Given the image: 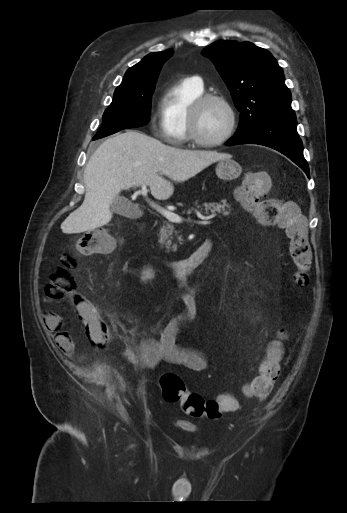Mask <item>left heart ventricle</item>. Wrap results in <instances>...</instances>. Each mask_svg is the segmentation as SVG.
<instances>
[{
	"instance_id": "b2bd125f",
	"label": "left heart ventricle",
	"mask_w": 347,
	"mask_h": 513,
	"mask_svg": "<svg viewBox=\"0 0 347 513\" xmlns=\"http://www.w3.org/2000/svg\"><path fill=\"white\" fill-rule=\"evenodd\" d=\"M229 115L225 107L217 102H209L202 107L198 116V133L206 140H216L226 131Z\"/></svg>"
}]
</instances>
